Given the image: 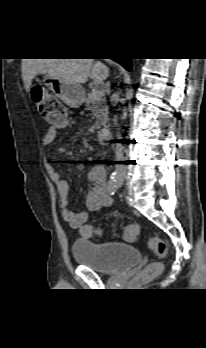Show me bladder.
<instances>
[{"label":"bladder","instance_id":"1","mask_svg":"<svg viewBox=\"0 0 206 348\" xmlns=\"http://www.w3.org/2000/svg\"><path fill=\"white\" fill-rule=\"evenodd\" d=\"M72 254L78 265L104 274L121 272L141 259L136 247L118 242L77 240L72 244Z\"/></svg>","mask_w":206,"mask_h":348}]
</instances>
